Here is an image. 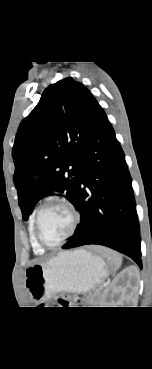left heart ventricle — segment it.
I'll return each mask as SVG.
<instances>
[{
  "mask_svg": "<svg viewBox=\"0 0 152 369\" xmlns=\"http://www.w3.org/2000/svg\"><path fill=\"white\" fill-rule=\"evenodd\" d=\"M71 223V214L65 206L51 204L41 214L40 235L46 243H56L69 232Z\"/></svg>",
  "mask_w": 152,
  "mask_h": 369,
  "instance_id": "left-heart-ventricle-1",
  "label": "left heart ventricle"
}]
</instances>
